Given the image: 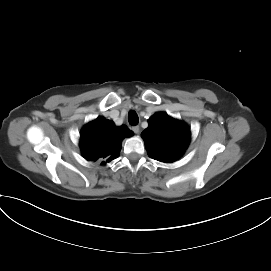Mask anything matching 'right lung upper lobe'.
Instances as JSON below:
<instances>
[{
  "label": "right lung upper lobe",
  "mask_w": 271,
  "mask_h": 271,
  "mask_svg": "<svg viewBox=\"0 0 271 271\" xmlns=\"http://www.w3.org/2000/svg\"><path fill=\"white\" fill-rule=\"evenodd\" d=\"M132 135L133 132L126 126L116 127L112 121L98 117L81 132L82 154L88 161L99 160L105 164L118 157L123 138Z\"/></svg>",
  "instance_id": "obj_1"
}]
</instances>
